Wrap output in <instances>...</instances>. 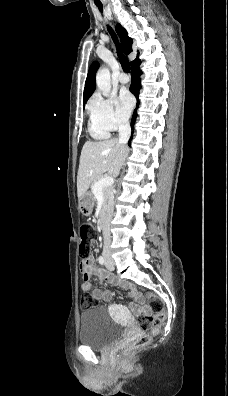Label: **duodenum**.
Listing matches in <instances>:
<instances>
[{
    "label": "duodenum",
    "instance_id": "410a0bca",
    "mask_svg": "<svg viewBox=\"0 0 228 396\" xmlns=\"http://www.w3.org/2000/svg\"><path fill=\"white\" fill-rule=\"evenodd\" d=\"M102 211H104V207L102 209ZM99 228L101 229V231L103 232L104 235L107 234V226H106V221H105V216L101 215V217L99 218Z\"/></svg>",
    "mask_w": 228,
    "mask_h": 396
}]
</instances>
